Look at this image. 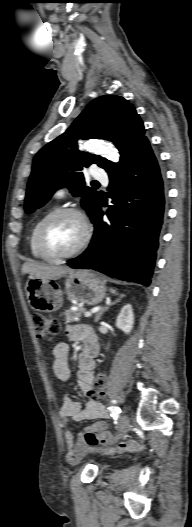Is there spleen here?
Returning a JSON list of instances; mask_svg holds the SVG:
<instances>
[{
  "mask_svg": "<svg viewBox=\"0 0 192 527\" xmlns=\"http://www.w3.org/2000/svg\"><path fill=\"white\" fill-rule=\"evenodd\" d=\"M110 292H111L112 294H117L116 290H115V289H112V288L110 289Z\"/></svg>",
  "mask_w": 192,
  "mask_h": 527,
  "instance_id": "1",
  "label": "spleen"
}]
</instances>
